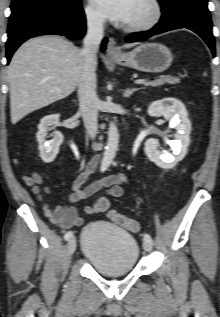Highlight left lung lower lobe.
Instances as JSON below:
<instances>
[{
    "label": "left lung lower lobe",
    "instance_id": "0a47b994",
    "mask_svg": "<svg viewBox=\"0 0 220 317\" xmlns=\"http://www.w3.org/2000/svg\"><path fill=\"white\" fill-rule=\"evenodd\" d=\"M162 13L160 22L154 28L131 34L125 41L134 42L166 31L187 28L200 35L215 56V39L207 0H175L170 5L162 7Z\"/></svg>",
    "mask_w": 220,
    "mask_h": 317
}]
</instances>
